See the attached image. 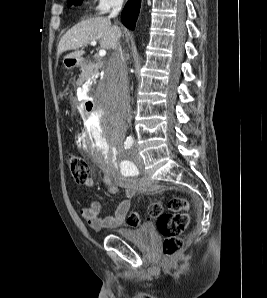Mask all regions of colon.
Wrapping results in <instances>:
<instances>
[{"instance_id":"5ec220e1","label":"colon","mask_w":267,"mask_h":298,"mask_svg":"<svg viewBox=\"0 0 267 298\" xmlns=\"http://www.w3.org/2000/svg\"><path fill=\"white\" fill-rule=\"evenodd\" d=\"M67 163L76 183L85 185L89 180V166L80 156L69 154ZM189 202L181 197L171 198L166 204L152 202L146 209L149 218L156 219L157 229L163 236V254L167 258L175 256L183 247V234L190 223ZM142 216L132 211L127 215V224L139 226Z\"/></svg>"}]
</instances>
